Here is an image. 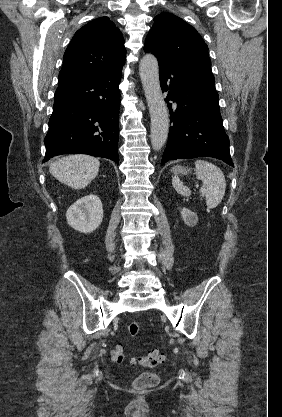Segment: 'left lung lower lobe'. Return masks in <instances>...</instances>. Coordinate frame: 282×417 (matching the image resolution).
Wrapping results in <instances>:
<instances>
[{"instance_id": "1", "label": "left lung lower lobe", "mask_w": 282, "mask_h": 417, "mask_svg": "<svg viewBox=\"0 0 282 417\" xmlns=\"http://www.w3.org/2000/svg\"><path fill=\"white\" fill-rule=\"evenodd\" d=\"M158 63L162 91L169 90L166 102L172 120L161 165L170 160L206 156L234 166L211 67ZM169 101L177 104L174 112Z\"/></svg>"}]
</instances>
